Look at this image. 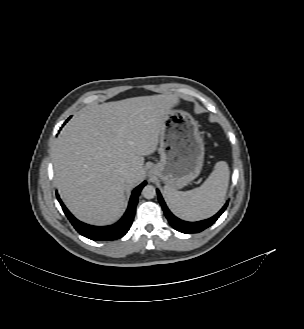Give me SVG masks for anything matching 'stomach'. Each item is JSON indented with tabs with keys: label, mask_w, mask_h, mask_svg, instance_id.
Segmentation results:
<instances>
[{
	"label": "stomach",
	"mask_w": 304,
	"mask_h": 329,
	"mask_svg": "<svg viewBox=\"0 0 304 329\" xmlns=\"http://www.w3.org/2000/svg\"><path fill=\"white\" fill-rule=\"evenodd\" d=\"M160 161L149 174L180 189L197 178L204 161V142L197 121L182 110H170L160 133Z\"/></svg>",
	"instance_id": "obj_1"
}]
</instances>
